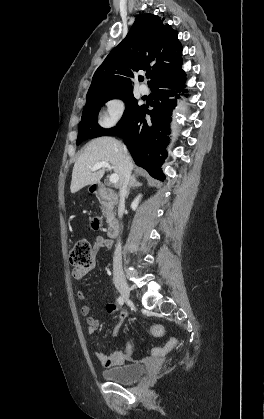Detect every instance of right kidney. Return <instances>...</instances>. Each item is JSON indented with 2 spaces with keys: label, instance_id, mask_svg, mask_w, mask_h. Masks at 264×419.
<instances>
[{
  "label": "right kidney",
  "instance_id": "1",
  "mask_svg": "<svg viewBox=\"0 0 264 419\" xmlns=\"http://www.w3.org/2000/svg\"><path fill=\"white\" fill-rule=\"evenodd\" d=\"M141 197H142V195L141 194H139L134 200H133V202H132V204H131V208H132V210H136L137 209V207H138V204H139V201L141 200Z\"/></svg>",
  "mask_w": 264,
  "mask_h": 419
}]
</instances>
